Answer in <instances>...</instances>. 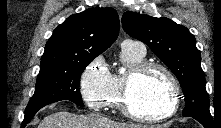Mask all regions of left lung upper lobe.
<instances>
[{"instance_id": "1", "label": "left lung upper lobe", "mask_w": 221, "mask_h": 128, "mask_svg": "<svg viewBox=\"0 0 221 128\" xmlns=\"http://www.w3.org/2000/svg\"><path fill=\"white\" fill-rule=\"evenodd\" d=\"M122 26L128 35L144 42L178 78L186 103L183 116L212 117L200 52L189 30L168 18L132 11L123 14Z\"/></svg>"}]
</instances>
